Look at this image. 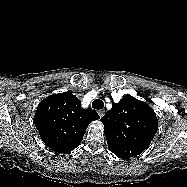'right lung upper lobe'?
<instances>
[{
	"label": "right lung upper lobe",
	"instance_id": "right-lung-upper-lobe-1",
	"mask_svg": "<svg viewBox=\"0 0 187 187\" xmlns=\"http://www.w3.org/2000/svg\"><path fill=\"white\" fill-rule=\"evenodd\" d=\"M100 116L71 92L53 94L43 99L36 110L34 123L42 141L52 150L68 153L79 146L86 128Z\"/></svg>",
	"mask_w": 187,
	"mask_h": 187
}]
</instances>
